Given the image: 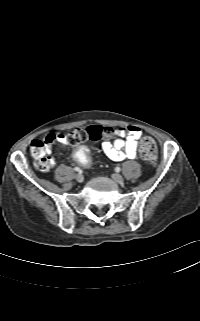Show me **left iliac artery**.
<instances>
[{
  "mask_svg": "<svg viewBox=\"0 0 200 321\" xmlns=\"http://www.w3.org/2000/svg\"><path fill=\"white\" fill-rule=\"evenodd\" d=\"M120 170H121L120 167H116V168H115V171H116V172H120Z\"/></svg>",
  "mask_w": 200,
  "mask_h": 321,
  "instance_id": "1",
  "label": "left iliac artery"
}]
</instances>
